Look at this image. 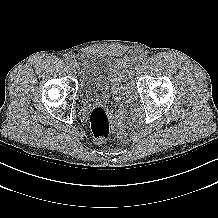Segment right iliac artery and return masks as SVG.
Returning <instances> with one entry per match:
<instances>
[{"mask_svg": "<svg viewBox=\"0 0 218 218\" xmlns=\"http://www.w3.org/2000/svg\"><path fill=\"white\" fill-rule=\"evenodd\" d=\"M72 61H73V60H72L71 57H67L66 60H65V62H66L67 64H69V65H71Z\"/></svg>", "mask_w": 218, "mask_h": 218, "instance_id": "right-iliac-artery-1", "label": "right iliac artery"}]
</instances>
